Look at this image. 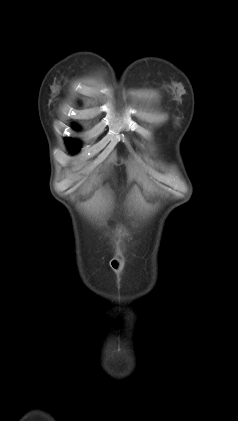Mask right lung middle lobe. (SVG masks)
Here are the masks:
<instances>
[{
  "mask_svg": "<svg viewBox=\"0 0 238 421\" xmlns=\"http://www.w3.org/2000/svg\"><path fill=\"white\" fill-rule=\"evenodd\" d=\"M66 143L68 145V148L73 152L77 151L80 148V143L77 140L68 138L66 139Z\"/></svg>",
  "mask_w": 238,
  "mask_h": 421,
  "instance_id": "right-lung-middle-lobe-1",
  "label": "right lung middle lobe"
}]
</instances>
